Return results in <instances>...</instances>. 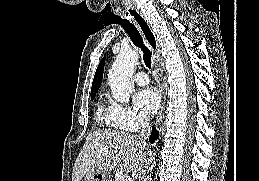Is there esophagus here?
Listing matches in <instances>:
<instances>
[{"label":"esophagus","instance_id":"1","mask_svg":"<svg viewBox=\"0 0 259 181\" xmlns=\"http://www.w3.org/2000/svg\"><path fill=\"white\" fill-rule=\"evenodd\" d=\"M132 18L135 21V23L137 24V26L139 27V29L141 30L148 46L150 47V49L153 53L155 60H157L159 58L160 48H159V44H158L155 33L153 32L149 23L147 22V20L144 18V16L141 13L138 12V13L132 14ZM161 94H162V105H161V109H160L159 115H158L156 123H155V126L157 128L160 126V124L162 122L163 115H164L165 102H166V95H165V92L162 87H161Z\"/></svg>","mask_w":259,"mask_h":181}]
</instances>
